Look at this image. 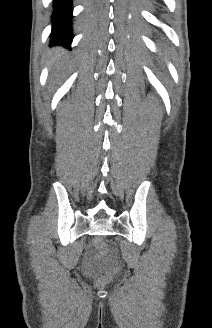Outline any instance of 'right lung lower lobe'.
<instances>
[{
	"instance_id": "right-lung-lower-lobe-1",
	"label": "right lung lower lobe",
	"mask_w": 212,
	"mask_h": 328,
	"mask_svg": "<svg viewBox=\"0 0 212 328\" xmlns=\"http://www.w3.org/2000/svg\"><path fill=\"white\" fill-rule=\"evenodd\" d=\"M72 0H53L52 44L69 46L72 42Z\"/></svg>"
}]
</instances>
